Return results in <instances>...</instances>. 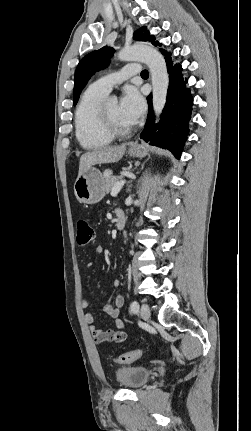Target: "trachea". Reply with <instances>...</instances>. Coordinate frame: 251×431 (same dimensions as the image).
I'll return each mask as SVG.
<instances>
[{"label":"trachea","mask_w":251,"mask_h":431,"mask_svg":"<svg viewBox=\"0 0 251 431\" xmlns=\"http://www.w3.org/2000/svg\"><path fill=\"white\" fill-rule=\"evenodd\" d=\"M141 75L143 76V75H148V71L147 70H143L142 72H141Z\"/></svg>","instance_id":"obj_1"}]
</instances>
